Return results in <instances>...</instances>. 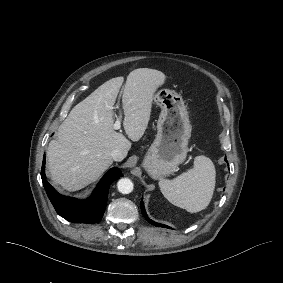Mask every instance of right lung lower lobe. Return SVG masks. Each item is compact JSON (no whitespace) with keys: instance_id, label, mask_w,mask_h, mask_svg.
Returning <instances> with one entry per match:
<instances>
[{"instance_id":"98d812e1","label":"right lung lower lobe","mask_w":283,"mask_h":283,"mask_svg":"<svg viewBox=\"0 0 283 283\" xmlns=\"http://www.w3.org/2000/svg\"><path fill=\"white\" fill-rule=\"evenodd\" d=\"M122 176L118 168L110 169L101 179L93 195L87 200H77L60 195L47 182L45 176V155L41 170V178L46 193L57 213L66 220L74 223H97L104 214L110 184Z\"/></svg>"}]
</instances>
